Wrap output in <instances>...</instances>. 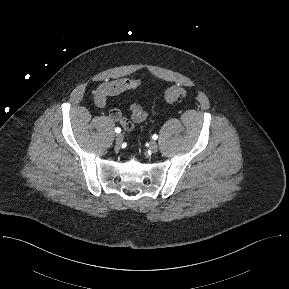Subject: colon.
<instances>
[{"mask_svg": "<svg viewBox=\"0 0 289 289\" xmlns=\"http://www.w3.org/2000/svg\"><path fill=\"white\" fill-rule=\"evenodd\" d=\"M185 95L186 90L183 87L173 86L166 90L164 97L168 103H173L180 100Z\"/></svg>", "mask_w": 289, "mask_h": 289, "instance_id": "1", "label": "colon"}]
</instances>
